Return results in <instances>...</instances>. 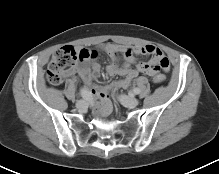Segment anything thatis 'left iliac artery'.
<instances>
[{"instance_id":"44dca946","label":"left iliac artery","mask_w":219,"mask_h":174,"mask_svg":"<svg viewBox=\"0 0 219 174\" xmlns=\"http://www.w3.org/2000/svg\"><path fill=\"white\" fill-rule=\"evenodd\" d=\"M133 93H134V94H139V93H140V90H139L138 88H134V89H133Z\"/></svg>"}]
</instances>
